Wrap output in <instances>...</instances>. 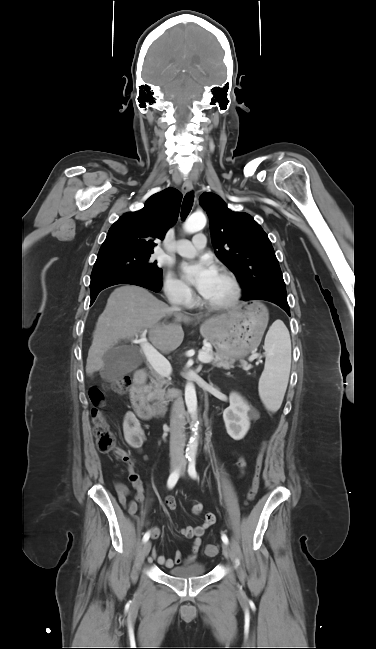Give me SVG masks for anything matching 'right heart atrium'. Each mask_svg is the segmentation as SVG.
<instances>
[{
    "label": "right heart atrium",
    "instance_id": "1",
    "mask_svg": "<svg viewBox=\"0 0 376 649\" xmlns=\"http://www.w3.org/2000/svg\"><path fill=\"white\" fill-rule=\"evenodd\" d=\"M163 291L166 298L177 305L189 306L194 300L190 288L171 275L165 276Z\"/></svg>",
    "mask_w": 376,
    "mask_h": 649
}]
</instances>
